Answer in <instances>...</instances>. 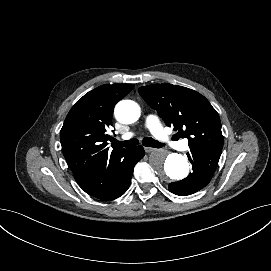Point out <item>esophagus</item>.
Returning <instances> with one entry per match:
<instances>
[{
	"instance_id": "1",
	"label": "esophagus",
	"mask_w": 271,
	"mask_h": 271,
	"mask_svg": "<svg viewBox=\"0 0 271 271\" xmlns=\"http://www.w3.org/2000/svg\"><path fill=\"white\" fill-rule=\"evenodd\" d=\"M144 149H145L146 153H151V152L157 151V149L152 148V147H144Z\"/></svg>"
}]
</instances>
